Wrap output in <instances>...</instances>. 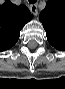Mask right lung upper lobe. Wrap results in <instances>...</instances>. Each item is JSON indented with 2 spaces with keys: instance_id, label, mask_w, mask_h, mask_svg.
Masks as SVG:
<instances>
[{
  "instance_id": "cb5924a9",
  "label": "right lung upper lobe",
  "mask_w": 65,
  "mask_h": 89,
  "mask_svg": "<svg viewBox=\"0 0 65 89\" xmlns=\"http://www.w3.org/2000/svg\"><path fill=\"white\" fill-rule=\"evenodd\" d=\"M32 19L25 5H14L9 0L0 6V51L11 48L19 39L20 30Z\"/></svg>"
}]
</instances>
